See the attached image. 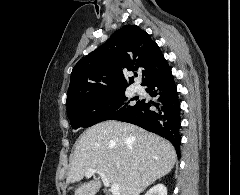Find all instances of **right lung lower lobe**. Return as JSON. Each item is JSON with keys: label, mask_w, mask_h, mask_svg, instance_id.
<instances>
[{"label": "right lung lower lobe", "mask_w": 240, "mask_h": 195, "mask_svg": "<svg viewBox=\"0 0 240 195\" xmlns=\"http://www.w3.org/2000/svg\"><path fill=\"white\" fill-rule=\"evenodd\" d=\"M146 87L155 100H141L137 106L114 120L129 122L165 137L180 156V103L171 69Z\"/></svg>", "instance_id": "1"}]
</instances>
